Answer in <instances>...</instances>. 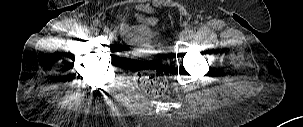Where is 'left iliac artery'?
Segmentation results:
<instances>
[{
	"mask_svg": "<svg viewBox=\"0 0 303 127\" xmlns=\"http://www.w3.org/2000/svg\"><path fill=\"white\" fill-rule=\"evenodd\" d=\"M185 33H186L187 37H192L194 35V31L193 30H187V31H185Z\"/></svg>",
	"mask_w": 303,
	"mask_h": 127,
	"instance_id": "obj_1",
	"label": "left iliac artery"
}]
</instances>
